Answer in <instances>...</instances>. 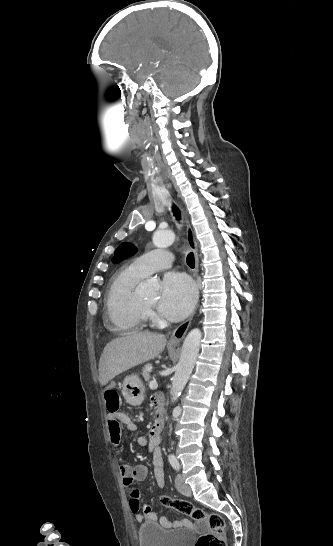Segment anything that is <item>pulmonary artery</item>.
<instances>
[{
    "instance_id": "1",
    "label": "pulmonary artery",
    "mask_w": 333,
    "mask_h": 546,
    "mask_svg": "<svg viewBox=\"0 0 333 546\" xmlns=\"http://www.w3.org/2000/svg\"><path fill=\"white\" fill-rule=\"evenodd\" d=\"M173 255L164 249H156L135 258L131 264L139 273L148 276L172 266Z\"/></svg>"
}]
</instances>
